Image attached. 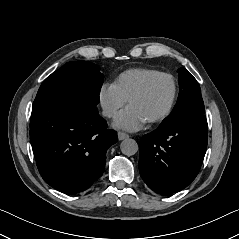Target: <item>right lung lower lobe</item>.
<instances>
[{"mask_svg":"<svg viewBox=\"0 0 239 239\" xmlns=\"http://www.w3.org/2000/svg\"><path fill=\"white\" fill-rule=\"evenodd\" d=\"M96 104L68 97L31 117L30 141L38 170L56 190L76 194L104 172L107 149L117 142Z\"/></svg>","mask_w":239,"mask_h":239,"instance_id":"98d812e1","label":"right lung lower lobe"}]
</instances>
